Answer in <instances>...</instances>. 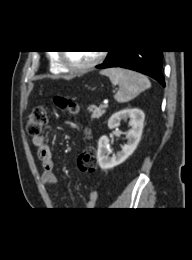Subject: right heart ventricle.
Instances as JSON below:
<instances>
[{
    "mask_svg": "<svg viewBox=\"0 0 192 260\" xmlns=\"http://www.w3.org/2000/svg\"><path fill=\"white\" fill-rule=\"evenodd\" d=\"M50 70L53 73L67 72V69L60 63L59 56L56 53L50 55Z\"/></svg>",
    "mask_w": 192,
    "mask_h": 260,
    "instance_id": "e07e8e85",
    "label": "right heart ventricle"
}]
</instances>
